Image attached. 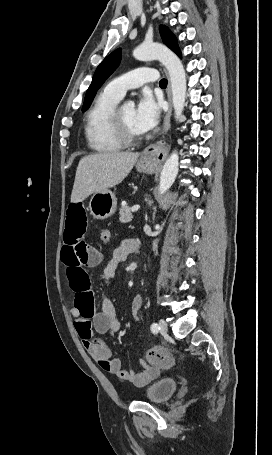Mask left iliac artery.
<instances>
[{"instance_id":"1","label":"left iliac artery","mask_w":272,"mask_h":455,"mask_svg":"<svg viewBox=\"0 0 272 455\" xmlns=\"http://www.w3.org/2000/svg\"><path fill=\"white\" fill-rule=\"evenodd\" d=\"M159 330H160V327L158 326V324H157V323H152V325H151V331H152L153 333H158Z\"/></svg>"}]
</instances>
